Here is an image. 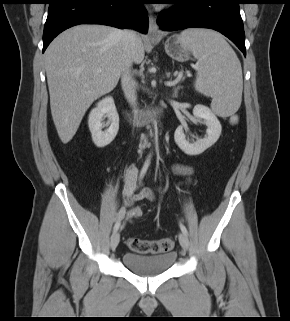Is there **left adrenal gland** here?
<instances>
[{"label": "left adrenal gland", "mask_w": 290, "mask_h": 321, "mask_svg": "<svg viewBox=\"0 0 290 321\" xmlns=\"http://www.w3.org/2000/svg\"><path fill=\"white\" fill-rule=\"evenodd\" d=\"M167 75H168V74H167ZM180 89H181L180 86L174 88V91H173V96H174V97H177L178 91H179Z\"/></svg>", "instance_id": "a2214340"}]
</instances>
